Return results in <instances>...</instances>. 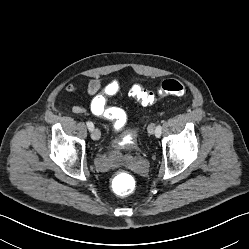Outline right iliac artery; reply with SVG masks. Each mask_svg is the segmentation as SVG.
<instances>
[{
    "label": "right iliac artery",
    "mask_w": 249,
    "mask_h": 249,
    "mask_svg": "<svg viewBox=\"0 0 249 249\" xmlns=\"http://www.w3.org/2000/svg\"><path fill=\"white\" fill-rule=\"evenodd\" d=\"M87 127H88V129H89L90 131H92V130L94 129V125H93V123L90 122V121L87 122Z\"/></svg>",
    "instance_id": "82829eb1"
}]
</instances>
